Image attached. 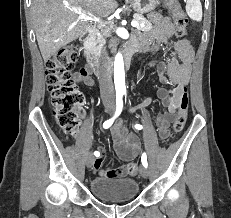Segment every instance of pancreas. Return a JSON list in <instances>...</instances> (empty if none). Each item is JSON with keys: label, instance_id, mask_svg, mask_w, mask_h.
I'll use <instances>...</instances> for the list:
<instances>
[{"label": "pancreas", "instance_id": "1", "mask_svg": "<svg viewBox=\"0 0 231 218\" xmlns=\"http://www.w3.org/2000/svg\"><path fill=\"white\" fill-rule=\"evenodd\" d=\"M134 19L138 22L137 29L139 31H149L152 29V24L140 13L134 15ZM108 35L107 31L100 29L95 37V43L98 48L102 47L104 36Z\"/></svg>", "mask_w": 231, "mask_h": 218}]
</instances>
